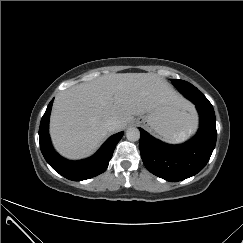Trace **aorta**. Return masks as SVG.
Wrapping results in <instances>:
<instances>
[{
	"mask_svg": "<svg viewBox=\"0 0 243 243\" xmlns=\"http://www.w3.org/2000/svg\"><path fill=\"white\" fill-rule=\"evenodd\" d=\"M126 138L131 142L138 141L140 139L139 129L136 128V127L128 128L127 131H126Z\"/></svg>",
	"mask_w": 243,
	"mask_h": 243,
	"instance_id": "762f6f07",
	"label": "aorta"
}]
</instances>
